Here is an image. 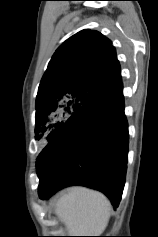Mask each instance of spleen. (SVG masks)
<instances>
[{
	"instance_id": "1",
	"label": "spleen",
	"mask_w": 158,
	"mask_h": 237,
	"mask_svg": "<svg viewBox=\"0 0 158 237\" xmlns=\"http://www.w3.org/2000/svg\"><path fill=\"white\" fill-rule=\"evenodd\" d=\"M111 212L110 201L102 193L74 187L56 205V214L65 222L71 236H100Z\"/></svg>"
}]
</instances>
